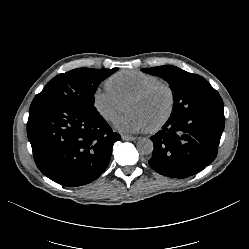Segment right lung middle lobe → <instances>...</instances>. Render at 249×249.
<instances>
[{"mask_svg":"<svg viewBox=\"0 0 249 249\" xmlns=\"http://www.w3.org/2000/svg\"><path fill=\"white\" fill-rule=\"evenodd\" d=\"M118 68H78L50 80L33 99L30 110L39 106L68 104L85 110H96L94 94L97 87Z\"/></svg>","mask_w":249,"mask_h":249,"instance_id":"1","label":"right lung middle lobe"}]
</instances>
